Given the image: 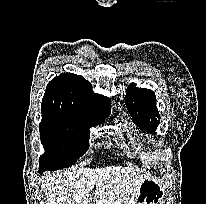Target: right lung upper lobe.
<instances>
[{
  "label": "right lung upper lobe",
  "mask_w": 206,
  "mask_h": 204,
  "mask_svg": "<svg viewBox=\"0 0 206 204\" xmlns=\"http://www.w3.org/2000/svg\"><path fill=\"white\" fill-rule=\"evenodd\" d=\"M43 109H58L105 119L111 111L109 98L95 94L82 76L62 73L51 80L41 104Z\"/></svg>",
  "instance_id": "obj_1"
}]
</instances>
